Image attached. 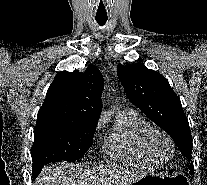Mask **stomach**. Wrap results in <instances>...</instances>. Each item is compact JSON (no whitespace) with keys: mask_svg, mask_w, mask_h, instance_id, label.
<instances>
[{"mask_svg":"<svg viewBox=\"0 0 207 185\" xmlns=\"http://www.w3.org/2000/svg\"><path fill=\"white\" fill-rule=\"evenodd\" d=\"M132 185H188V182L181 173L165 176L150 174L137 179Z\"/></svg>","mask_w":207,"mask_h":185,"instance_id":"0dacf381","label":"stomach"}]
</instances>
